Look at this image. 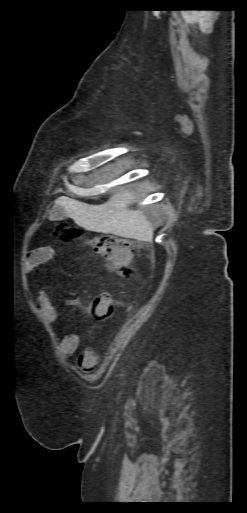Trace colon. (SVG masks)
<instances>
[{
    "label": "colon",
    "mask_w": 247,
    "mask_h": 513,
    "mask_svg": "<svg viewBox=\"0 0 247 513\" xmlns=\"http://www.w3.org/2000/svg\"><path fill=\"white\" fill-rule=\"evenodd\" d=\"M57 233L61 239L69 241L80 237L81 230L63 224L58 226ZM93 248L101 254L108 267L117 270L122 275H130L133 272L134 248L131 241L112 235L100 236L91 242ZM116 301L108 293H103L98 300L91 303L90 311L99 326L108 322Z\"/></svg>",
    "instance_id": "5ec220e1"
}]
</instances>
